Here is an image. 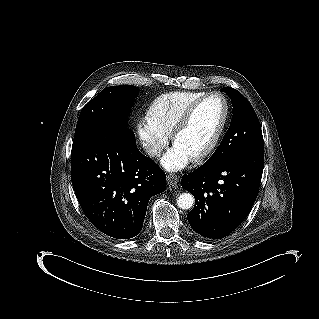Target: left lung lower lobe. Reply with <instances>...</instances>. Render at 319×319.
<instances>
[{"instance_id":"0a47b994","label":"left lung lower lobe","mask_w":319,"mask_h":319,"mask_svg":"<svg viewBox=\"0 0 319 319\" xmlns=\"http://www.w3.org/2000/svg\"><path fill=\"white\" fill-rule=\"evenodd\" d=\"M263 167V150H253L206 162L182 177V187L195 197L187 219L199 237L224 238L243 222L258 195Z\"/></svg>"}]
</instances>
